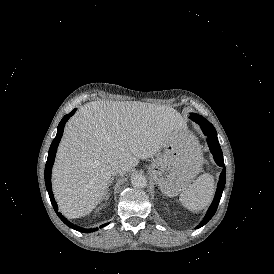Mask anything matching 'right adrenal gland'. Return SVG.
Returning a JSON list of instances; mask_svg holds the SVG:
<instances>
[{
    "mask_svg": "<svg viewBox=\"0 0 274 274\" xmlns=\"http://www.w3.org/2000/svg\"><path fill=\"white\" fill-rule=\"evenodd\" d=\"M114 179V178H113ZM111 185V184H110ZM110 189L107 190L106 195L103 197V199L108 200L110 197V193H108Z\"/></svg>",
    "mask_w": 274,
    "mask_h": 274,
    "instance_id": "1",
    "label": "right adrenal gland"
}]
</instances>
